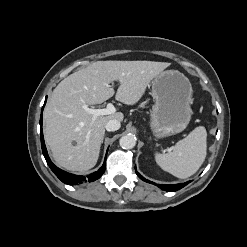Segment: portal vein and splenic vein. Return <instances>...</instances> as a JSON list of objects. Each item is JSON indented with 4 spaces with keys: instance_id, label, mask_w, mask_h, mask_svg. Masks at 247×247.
I'll return each mask as SVG.
<instances>
[{
    "instance_id": "obj_1",
    "label": "portal vein and splenic vein",
    "mask_w": 247,
    "mask_h": 247,
    "mask_svg": "<svg viewBox=\"0 0 247 247\" xmlns=\"http://www.w3.org/2000/svg\"><path fill=\"white\" fill-rule=\"evenodd\" d=\"M82 107L87 113L93 115V118H96L101 115L113 114L116 112V108L114 107L112 103H108L107 107L104 109H92V108H89L87 105H83Z\"/></svg>"
}]
</instances>
